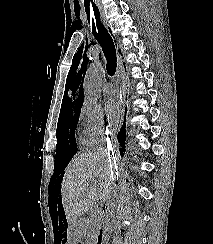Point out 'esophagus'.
I'll use <instances>...</instances> for the list:
<instances>
[{"label": "esophagus", "mask_w": 213, "mask_h": 244, "mask_svg": "<svg viewBox=\"0 0 213 244\" xmlns=\"http://www.w3.org/2000/svg\"><path fill=\"white\" fill-rule=\"evenodd\" d=\"M121 52H122V48H121V46L118 45L117 53H118V59H119V68L121 70L122 81L124 84L127 85L129 82L128 73L125 72L126 64H125L124 60H122V58H121Z\"/></svg>", "instance_id": "1"}]
</instances>
